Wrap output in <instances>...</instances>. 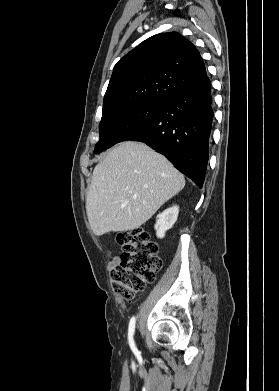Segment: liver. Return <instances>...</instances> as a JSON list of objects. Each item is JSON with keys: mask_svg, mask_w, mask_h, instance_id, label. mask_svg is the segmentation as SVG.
<instances>
[{"mask_svg": "<svg viewBox=\"0 0 279 391\" xmlns=\"http://www.w3.org/2000/svg\"><path fill=\"white\" fill-rule=\"evenodd\" d=\"M185 186L184 176L161 154L126 141L96 165L86 196L93 233L134 230Z\"/></svg>", "mask_w": 279, "mask_h": 391, "instance_id": "1", "label": "liver"}]
</instances>
